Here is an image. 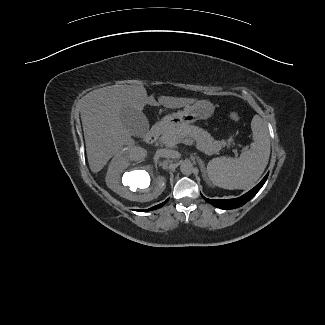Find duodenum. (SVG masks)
<instances>
[{
    "instance_id": "duodenum-1",
    "label": "duodenum",
    "mask_w": 325,
    "mask_h": 325,
    "mask_svg": "<svg viewBox=\"0 0 325 325\" xmlns=\"http://www.w3.org/2000/svg\"><path fill=\"white\" fill-rule=\"evenodd\" d=\"M162 125L161 124H158V125H155L149 132L148 134L146 135V138H145V141L147 144H152L154 143L158 137L160 136L161 132H162Z\"/></svg>"
}]
</instances>
